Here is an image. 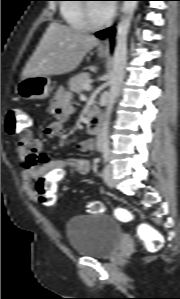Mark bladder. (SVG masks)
<instances>
[{"label":"bladder","mask_w":180,"mask_h":299,"mask_svg":"<svg viewBox=\"0 0 180 299\" xmlns=\"http://www.w3.org/2000/svg\"><path fill=\"white\" fill-rule=\"evenodd\" d=\"M67 240L76 254L105 259L121 242V227L109 215H76L64 227Z\"/></svg>","instance_id":"1"}]
</instances>
